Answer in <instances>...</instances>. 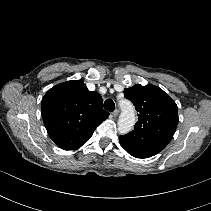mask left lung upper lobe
Returning <instances> with one entry per match:
<instances>
[{
  "label": "left lung upper lobe",
  "instance_id": "1",
  "mask_svg": "<svg viewBox=\"0 0 211 211\" xmlns=\"http://www.w3.org/2000/svg\"><path fill=\"white\" fill-rule=\"evenodd\" d=\"M124 95L138 112L131 133L120 136L121 146L136 158H148L163 150L171 141L177 124V105L162 89L136 84L125 88Z\"/></svg>",
  "mask_w": 211,
  "mask_h": 211
}]
</instances>
